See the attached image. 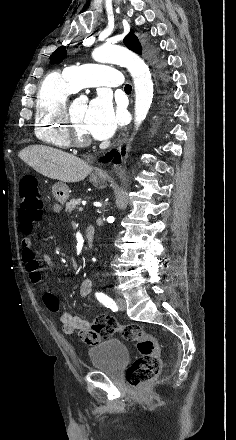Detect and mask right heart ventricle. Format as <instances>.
<instances>
[{
    "mask_svg": "<svg viewBox=\"0 0 236 440\" xmlns=\"http://www.w3.org/2000/svg\"><path fill=\"white\" fill-rule=\"evenodd\" d=\"M74 91L64 74L51 73L44 78L36 95L35 135L57 149L70 146L61 115L68 96Z\"/></svg>",
    "mask_w": 236,
    "mask_h": 440,
    "instance_id": "right-heart-ventricle-1",
    "label": "right heart ventricle"
}]
</instances>
